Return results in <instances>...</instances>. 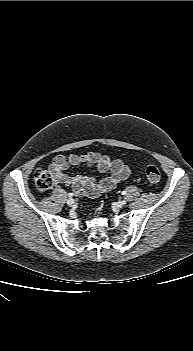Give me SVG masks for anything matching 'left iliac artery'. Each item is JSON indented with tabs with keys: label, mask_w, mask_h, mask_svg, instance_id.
Returning a JSON list of instances; mask_svg holds the SVG:
<instances>
[{
	"label": "left iliac artery",
	"mask_w": 193,
	"mask_h": 351,
	"mask_svg": "<svg viewBox=\"0 0 193 351\" xmlns=\"http://www.w3.org/2000/svg\"><path fill=\"white\" fill-rule=\"evenodd\" d=\"M126 194V191H122V195H125Z\"/></svg>",
	"instance_id": "44dca946"
}]
</instances>
